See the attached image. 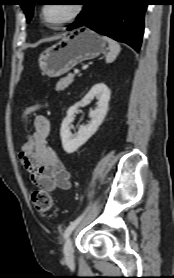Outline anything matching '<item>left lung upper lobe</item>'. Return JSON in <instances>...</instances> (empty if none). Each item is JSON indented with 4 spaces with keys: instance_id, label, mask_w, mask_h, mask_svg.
<instances>
[{
    "instance_id": "left-lung-upper-lobe-1",
    "label": "left lung upper lobe",
    "mask_w": 174,
    "mask_h": 278,
    "mask_svg": "<svg viewBox=\"0 0 174 278\" xmlns=\"http://www.w3.org/2000/svg\"><path fill=\"white\" fill-rule=\"evenodd\" d=\"M83 4L85 0H80ZM37 0H22L21 7L24 10L27 22H30L32 16H33V7L36 5Z\"/></svg>"
}]
</instances>
